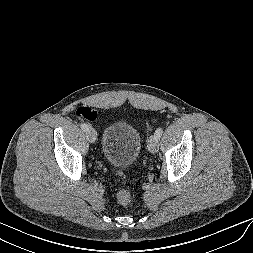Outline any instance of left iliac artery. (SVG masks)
I'll return each instance as SVG.
<instances>
[{"mask_svg": "<svg viewBox=\"0 0 253 253\" xmlns=\"http://www.w3.org/2000/svg\"><path fill=\"white\" fill-rule=\"evenodd\" d=\"M162 133H163V129L161 128V127H159V128H157V130L155 131V136H157L158 138H160L161 137V135H162Z\"/></svg>", "mask_w": 253, "mask_h": 253, "instance_id": "obj_1", "label": "left iliac artery"}]
</instances>
